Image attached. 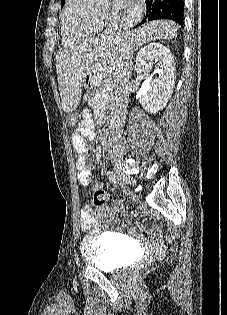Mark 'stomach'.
I'll return each instance as SVG.
<instances>
[{
    "label": "stomach",
    "mask_w": 227,
    "mask_h": 315,
    "mask_svg": "<svg viewBox=\"0 0 227 315\" xmlns=\"http://www.w3.org/2000/svg\"><path fill=\"white\" fill-rule=\"evenodd\" d=\"M98 77V72L96 68H89L87 71L86 75H84L83 80H81L80 85H81V90L82 91H91L92 86L91 82L94 81V78ZM75 120V116L73 114H70L68 117V121L70 124H73Z\"/></svg>",
    "instance_id": "0dacf381"
}]
</instances>
